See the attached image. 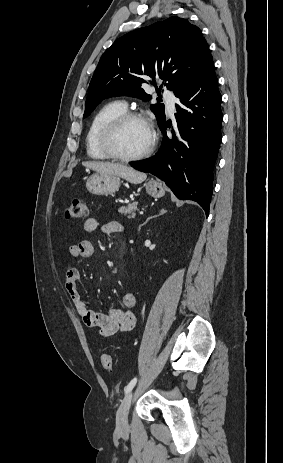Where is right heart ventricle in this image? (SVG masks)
I'll return each instance as SVG.
<instances>
[{
	"label": "right heart ventricle",
	"instance_id": "right-heart-ventricle-1",
	"mask_svg": "<svg viewBox=\"0 0 283 463\" xmlns=\"http://www.w3.org/2000/svg\"><path fill=\"white\" fill-rule=\"evenodd\" d=\"M126 111L121 101H112L102 106L93 116L86 135L87 155L95 160H106L108 156L100 145V135L105 125L114 117Z\"/></svg>",
	"mask_w": 283,
	"mask_h": 463
}]
</instances>
